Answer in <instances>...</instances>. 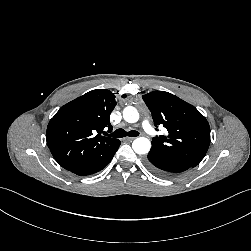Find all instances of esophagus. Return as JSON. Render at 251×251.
<instances>
[{
	"instance_id": "obj_1",
	"label": "esophagus",
	"mask_w": 251,
	"mask_h": 251,
	"mask_svg": "<svg viewBox=\"0 0 251 251\" xmlns=\"http://www.w3.org/2000/svg\"><path fill=\"white\" fill-rule=\"evenodd\" d=\"M135 139V137H127L125 138L126 141H133Z\"/></svg>"
}]
</instances>
